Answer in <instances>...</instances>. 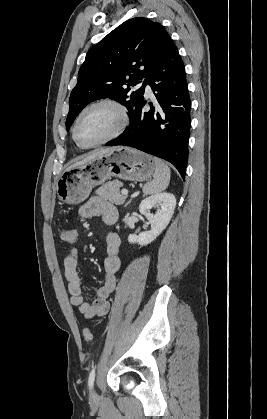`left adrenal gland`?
Instances as JSON below:
<instances>
[{
	"mask_svg": "<svg viewBox=\"0 0 267 419\" xmlns=\"http://www.w3.org/2000/svg\"><path fill=\"white\" fill-rule=\"evenodd\" d=\"M130 202H131V200H130V201H128V202L126 203V205H125V206H127Z\"/></svg>",
	"mask_w": 267,
	"mask_h": 419,
	"instance_id": "left-adrenal-gland-1",
	"label": "left adrenal gland"
}]
</instances>
